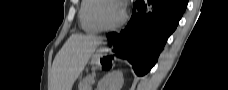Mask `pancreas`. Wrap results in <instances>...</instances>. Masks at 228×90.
<instances>
[{"instance_id":"1","label":"pancreas","mask_w":228,"mask_h":90,"mask_svg":"<svg viewBox=\"0 0 228 90\" xmlns=\"http://www.w3.org/2000/svg\"><path fill=\"white\" fill-rule=\"evenodd\" d=\"M94 82V75L86 76L79 84V90H91L92 83Z\"/></svg>"}]
</instances>
